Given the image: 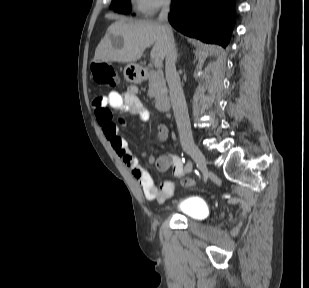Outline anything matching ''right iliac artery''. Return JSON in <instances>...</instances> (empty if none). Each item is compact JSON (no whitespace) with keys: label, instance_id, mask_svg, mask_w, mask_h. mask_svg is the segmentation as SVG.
I'll return each mask as SVG.
<instances>
[{"label":"right iliac artery","instance_id":"right-iliac-artery-1","mask_svg":"<svg viewBox=\"0 0 309 288\" xmlns=\"http://www.w3.org/2000/svg\"><path fill=\"white\" fill-rule=\"evenodd\" d=\"M195 163H196V166H197L196 168L201 169V168H203V166H204V165H203V163L201 162V160H199V159H198V160H196V162H195Z\"/></svg>","mask_w":309,"mask_h":288}]
</instances>
